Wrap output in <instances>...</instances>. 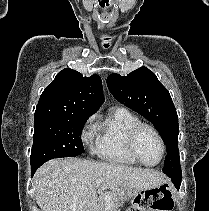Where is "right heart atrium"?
<instances>
[{
    "instance_id": "obj_1",
    "label": "right heart atrium",
    "mask_w": 209,
    "mask_h": 211,
    "mask_svg": "<svg viewBox=\"0 0 209 211\" xmlns=\"http://www.w3.org/2000/svg\"><path fill=\"white\" fill-rule=\"evenodd\" d=\"M94 120H95L94 116L89 117L83 126L81 132V139L85 144H89L94 138L96 132Z\"/></svg>"
}]
</instances>
